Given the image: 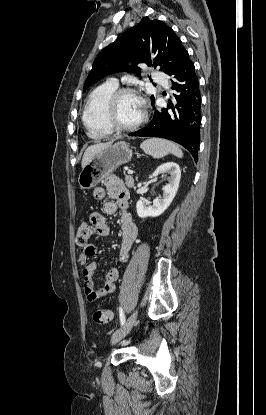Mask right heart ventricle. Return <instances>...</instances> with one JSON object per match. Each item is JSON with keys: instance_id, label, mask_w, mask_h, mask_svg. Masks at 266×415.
Here are the masks:
<instances>
[{"instance_id": "e07e8e85", "label": "right heart ventricle", "mask_w": 266, "mask_h": 415, "mask_svg": "<svg viewBox=\"0 0 266 415\" xmlns=\"http://www.w3.org/2000/svg\"><path fill=\"white\" fill-rule=\"evenodd\" d=\"M117 85L104 83L94 89L88 97L83 110L82 120L87 135L92 139H103L113 133L106 119V104Z\"/></svg>"}]
</instances>
